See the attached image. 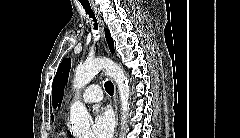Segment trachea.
Here are the masks:
<instances>
[{"instance_id": "obj_1", "label": "trachea", "mask_w": 240, "mask_h": 138, "mask_svg": "<svg viewBox=\"0 0 240 138\" xmlns=\"http://www.w3.org/2000/svg\"><path fill=\"white\" fill-rule=\"evenodd\" d=\"M82 6H83V8L85 9L86 14H88L89 17L92 18V21L94 22V24H93V25H94V30H97V29H98L97 20H96V18H95V15H94V13H93L90 5H88V4H83ZM104 86H105L106 92H107L109 95L112 96L113 93H114V86H113V84L111 83V81H106Z\"/></svg>"}]
</instances>
